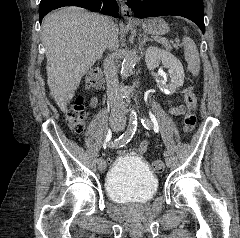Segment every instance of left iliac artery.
<instances>
[{"mask_svg":"<svg viewBox=\"0 0 240 238\" xmlns=\"http://www.w3.org/2000/svg\"><path fill=\"white\" fill-rule=\"evenodd\" d=\"M141 123L146 129H151L152 128V123L150 122L149 119L147 118H141ZM154 129V128H153ZM164 156L167 157L169 156V153L167 151L164 152Z\"/></svg>","mask_w":240,"mask_h":238,"instance_id":"1","label":"left iliac artery"}]
</instances>
